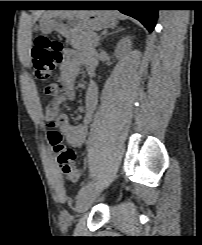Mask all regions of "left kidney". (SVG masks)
<instances>
[{
    "label": "left kidney",
    "mask_w": 202,
    "mask_h": 245,
    "mask_svg": "<svg viewBox=\"0 0 202 245\" xmlns=\"http://www.w3.org/2000/svg\"><path fill=\"white\" fill-rule=\"evenodd\" d=\"M132 46V42L129 37L123 38L116 47L115 55L117 58L121 57Z\"/></svg>",
    "instance_id": "obj_1"
}]
</instances>
